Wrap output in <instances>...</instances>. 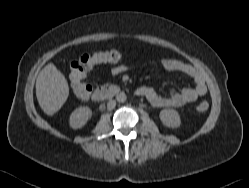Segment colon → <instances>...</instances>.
<instances>
[{
  "instance_id": "1",
  "label": "colon",
  "mask_w": 249,
  "mask_h": 188,
  "mask_svg": "<svg viewBox=\"0 0 249 188\" xmlns=\"http://www.w3.org/2000/svg\"><path fill=\"white\" fill-rule=\"evenodd\" d=\"M122 55L117 50L99 51L92 54H83L70 64V82L75 96L80 100H87L91 93V86L86 82L87 72L95 65L101 63H116ZM208 103L201 101L197 105V112L204 113Z\"/></svg>"
}]
</instances>
